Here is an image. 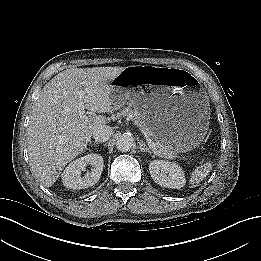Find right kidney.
Masks as SVG:
<instances>
[{"label": "right kidney", "mask_w": 261, "mask_h": 261, "mask_svg": "<svg viewBox=\"0 0 261 261\" xmlns=\"http://www.w3.org/2000/svg\"><path fill=\"white\" fill-rule=\"evenodd\" d=\"M91 166V173L81 177L86 166ZM103 157L100 154L91 153L72 161L63 171L61 177L63 185L69 189H85L96 184L103 171Z\"/></svg>", "instance_id": "right-kidney-1"}]
</instances>
